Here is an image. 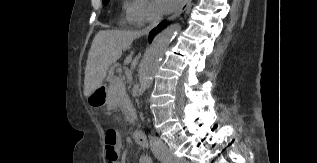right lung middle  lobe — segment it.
<instances>
[{"label":"right lung middle lobe","instance_id":"1","mask_svg":"<svg viewBox=\"0 0 317 163\" xmlns=\"http://www.w3.org/2000/svg\"><path fill=\"white\" fill-rule=\"evenodd\" d=\"M108 2H109V0H103V3H104L105 5H107Z\"/></svg>","mask_w":317,"mask_h":163}]
</instances>
